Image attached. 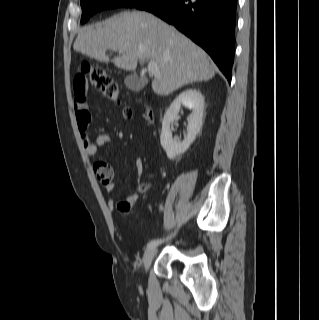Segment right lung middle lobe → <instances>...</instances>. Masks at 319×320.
<instances>
[{"instance_id": "obj_1", "label": "right lung middle lobe", "mask_w": 319, "mask_h": 320, "mask_svg": "<svg viewBox=\"0 0 319 320\" xmlns=\"http://www.w3.org/2000/svg\"><path fill=\"white\" fill-rule=\"evenodd\" d=\"M152 0H80L82 7L81 23H85L93 14L110 8L138 7Z\"/></svg>"}]
</instances>
